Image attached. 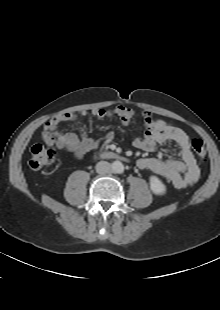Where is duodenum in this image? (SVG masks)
<instances>
[{"mask_svg": "<svg viewBox=\"0 0 220 310\" xmlns=\"http://www.w3.org/2000/svg\"><path fill=\"white\" fill-rule=\"evenodd\" d=\"M104 157L108 158V159H117L119 158V155H117L116 153L114 152H105L103 154Z\"/></svg>", "mask_w": 220, "mask_h": 310, "instance_id": "1", "label": "duodenum"}]
</instances>
